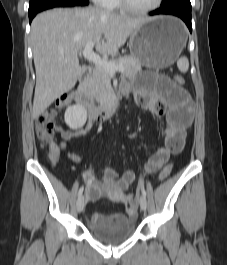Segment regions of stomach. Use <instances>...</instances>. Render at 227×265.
I'll list each match as a JSON object with an SVG mask.
<instances>
[{"mask_svg":"<svg viewBox=\"0 0 227 265\" xmlns=\"http://www.w3.org/2000/svg\"><path fill=\"white\" fill-rule=\"evenodd\" d=\"M187 41L183 23L172 16L147 20L130 34L129 48L133 58L152 69L171 66Z\"/></svg>","mask_w":227,"mask_h":265,"instance_id":"1","label":"stomach"}]
</instances>
